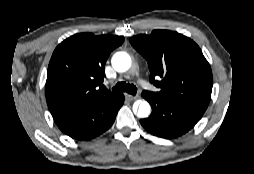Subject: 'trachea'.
<instances>
[{"label": "trachea", "instance_id": "obj_1", "mask_svg": "<svg viewBox=\"0 0 254 174\" xmlns=\"http://www.w3.org/2000/svg\"><path fill=\"white\" fill-rule=\"evenodd\" d=\"M114 92H127L131 95H135L137 93V88L133 84H127L125 82L117 83L113 89Z\"/></svg>", "mask_w": 254, "mask_h": 174}]
</instances>
